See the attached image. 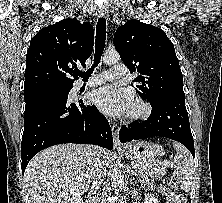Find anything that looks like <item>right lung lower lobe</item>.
Here are the masks:
<instances>
[{
    "instance_id": "right-lung-lower-lobe-1",
    "label": "right lung lower lobe",
    "mask_w": 222,
    "mask_h": 203,
    "mask_svg": "<svg viewBox=\"0 0 222 203\" xmlns=\"http://www.w3.org/2000/svg\"><path fill=\"white\" fill-rule=\"evenodd\" d=\"M34 96L26 101L21 143L22 172L41 150L62 143L94 144L113 149L110 125L96 106L67 101L69 91Z\"/></svg>"
}]
</instances>
